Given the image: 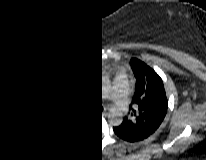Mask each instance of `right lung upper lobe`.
Wrapping results in <instances>:
<instances>
[{
  "label": "right lung upper lobe",
  "instance_id": "1",
  "mask_svg": "<svg viewBox=\"0 0 206 160\" xmlns=\"http://www.w3.org/2000/svg\"><path fill=\"white\" fill-rule=\"evenodd\" d=\"M77 99V81L67 70L41 86L36 109L40 126L50 137L68 141L83 135L88 119L74 110Z\"/></svg>",
  "mask_w": 206,
  "mask_h": 160
}]
</instances>
